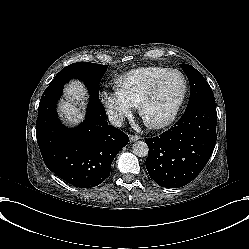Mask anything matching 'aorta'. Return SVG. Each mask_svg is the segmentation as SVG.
<instances>
[{
	"mask_svg": "<svg viewBox=\"0 0 249 249\" xmlns=\"http://www.w3.org/2000/svg\"><path fill=\"white\" fill-rule=\"evenodd\" d=\"M133 153L138 157H146L149 153V147L144 141H136L132 145Z\"/></svg>",
	"mask_w": 249,
	"mask_h": 249,
	"instance_id": "obj_1",
	"label": "aorta"
}]
</instances>
